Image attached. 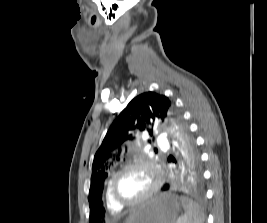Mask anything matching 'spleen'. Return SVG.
I'll list each match as a JSON object with an SVG mask.
<instances>
[{"label": "spleen", "mask_w": 267, "mask_h": 223, "mask_svg": "<svg viewBox=\"0 0 267 223\" xmlns=\"http://www.w3.org/2000/svg\"><path fill=\"white\" fill-rule=\"evenodd\" d=\"M180 202L185 210L176 223H204V212L198 203L185 196L180 197Z\"/></svg>", "instance_id": "3e777b00"}]
</instances>
